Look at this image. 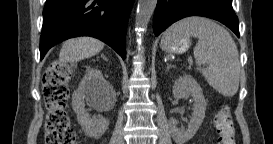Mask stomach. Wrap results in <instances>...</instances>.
Masks as SVG:
<instances>
[{"mask_svg":"<svg viewBox=\"0 0 273 144\" xmlns=\"http://www.w3.org/2000/svg\"><path fill=\"white\" fill-rule=\"evenodd\" d=\"M191 45L189 37L177 36L170 40H161V48L167 53H184Z\"/></svg>","mask_w":273,"mask_h":144,"instance_id":"stomach-1","label":"stomach"}]
</instances>
